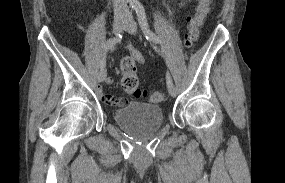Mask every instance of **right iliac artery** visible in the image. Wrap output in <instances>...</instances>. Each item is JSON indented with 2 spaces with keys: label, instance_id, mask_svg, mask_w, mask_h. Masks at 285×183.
<instances>
[{
  "label": "right iliac artery",
  "instance_id": "82829eb1",
  "mask_svg": "<svg viewBox=\"0 0 285 183\" xmlns=\"http://www.w3.org/2000/svg\"><path fill=\"white\" fill-rule=\"evenodd\" d=\"M121 37L122 36L120 34H118L116 37L110 38L109 40H107V42H106V44L104 46V53H103L102 59L100 61V68H103L105 66L107 51L110 50V49H113L114 46L120 40Z\"/></svg>",
  "mask_w": 285,
  "mask_h": 183
}]
</instances>
